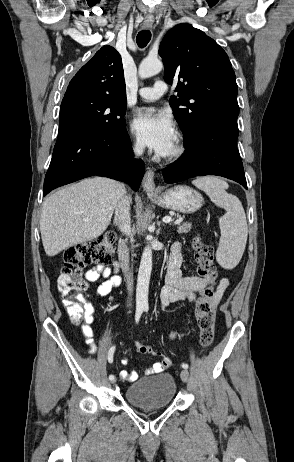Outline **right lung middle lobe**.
<instances>
[{"instance_id": "right-lung-middle-lobe-1", "label": "right lung middle lobe", "mask_w": 294, "mask_h": 462, "mask_svg": "<svg viewBox=\"0 0 294 462\" xmlns=\"http://www.w3.org/2000/svg\"><path fill=\"white\" fill-rule=\"evenodd\" d=\"M126 99L76 96L62 100L58 139L82 132H101L125 127Z\"/></svg>"}]
</instances>
